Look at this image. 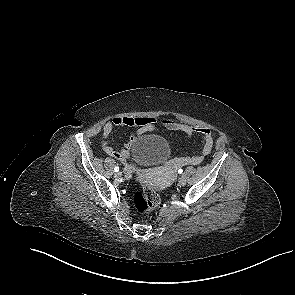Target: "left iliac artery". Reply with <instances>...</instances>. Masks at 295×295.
Segmentation results:
<instances>
[{
	"instance_id": "obj_1",
	"label": "left iliac artery",
	"mask_w": 295,
	"mask_h": 295,
	"mask_svg": "<svg viewBox=\"0 0 295 295\" xmlns=\"http://www.w3.org/2000/svg\"><path fill=\"white\" fill-rule=\"evenodd\" d=\"M182 172H183V170H182V169H179V170H178V173H179V174H181Z\"/></svg>"
}]
</instances>
